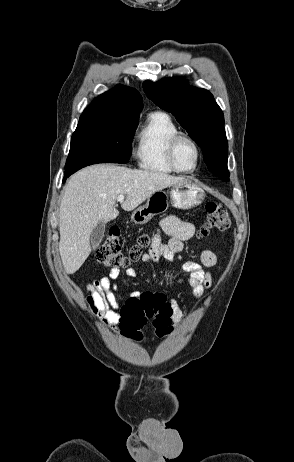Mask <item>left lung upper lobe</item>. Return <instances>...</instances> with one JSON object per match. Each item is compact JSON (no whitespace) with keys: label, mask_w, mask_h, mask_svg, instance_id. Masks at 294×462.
<instances>
[{"label":"left lung upper lobe","mask_w":294,"mask_h":462,"mask_svg":"<svg viewBox=\"0 0 294 462\" xmlns=\"http://www.w3.org/2000/svg\"><path fill=\"white\" fill-rule=\"evenodd\" d=\"M143 89L155 104L176 116L201 147L208 169L219 178H228L224 115L213 95L205 89L189 86L183 77L157 83L145 81Z\"/></svg>","instance_id":"1"}]
</instances>
